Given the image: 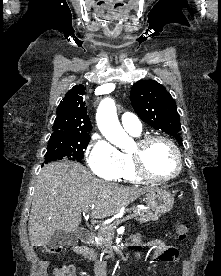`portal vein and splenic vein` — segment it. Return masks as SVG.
I'll use <instances>...</instances> for the list:
<instances>
[{
  "mask_svg": "<svg viewBox=\"0 0 221 276\" xmlns=\"http://www.w3.org/2000/svg\"><path fill=\"white\" fill-rule=\"evenodd\" d=\"M93 207H94V205H92ZM86 211H88V210H86ZM85 212V211H84ZM133 217H135V214L133 213V214H129V215H127L126 217H124L123 219H121L120 220V222H125V221H127V220H129V219H132ZM119 222V221H118Z\"/></svg>",
  "mask_w": 221,
  "mask_h": 276,
  "instance_id": "obj_1",
  "label": "portal vein and splenic vein"
}]
</instances>
